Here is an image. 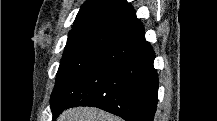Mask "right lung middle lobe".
Returning a JSON list of instances; mask_svg holds the SVG:
<instances>
[{"instance_id": "1", "label": "right lung middle lobe", "mask_w": 217, "mask_h": 121, "mask_svg": "<svg viewBox=\"0 0 217 121\" xmlns=\"http://www.w3.org/2000/svg\"><path fill=\"white\" fill-rule=\"evenodd\" d=\"M127 24L100 21L73 28L56 76L51 99L81 75Z\"/></svg>"}]
</instances>
